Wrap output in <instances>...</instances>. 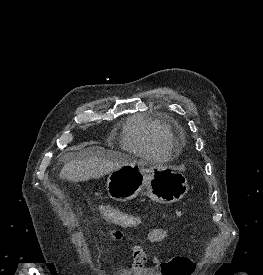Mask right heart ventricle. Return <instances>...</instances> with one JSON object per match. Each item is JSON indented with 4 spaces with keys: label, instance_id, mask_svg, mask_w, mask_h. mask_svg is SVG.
Listing matches in <instances>:
<instances>
[{
    "label": "right heart ventricle",
    "instance_id": "obj_1",
    "mask_svg": "<svg viewBox=\"0 0 263 275\" xmlns=\"http://www.w3.org/2000/svg\"><path fill=\"white\" fill-rule=\"evenodd\" d=\"M169 131L159 121L141 116L129 119L123 130V147L140 155L163 156L170 151Z\"/></svg>",
    "mask_w": 263,
    "mask_h": 275
}]
</instances>
